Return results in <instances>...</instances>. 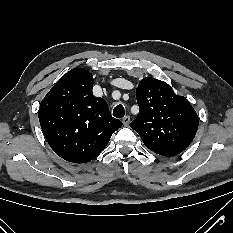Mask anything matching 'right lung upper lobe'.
<instances>
[{
  "instance_id": "cb5924a9",
  "label": "right lung upper lobe",
  "mask_w": 233,
  "mask_h": 233,
  "mask_svg": "<svg viewBox=\"0 0 233 233\" xmlns=\"http://www.w3.org/2000/svg\"><path fill=\"white\" fill-rule=\"evenodd\" d=\"M93 82L88 70L74 68L57 81L39 107L45 138L69 162L86 163L97 157L122 126L106 101L93 95Z\"/></svg>"
}]
</instances>
